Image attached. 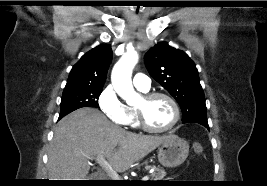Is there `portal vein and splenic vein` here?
<instances>
[{
  "label": "portal vein and splenic vein",
  "mask_w": 267,
  "mask_h": 186,
  "mask_svg": "<svg viewBox=\"0 0 267 186\" xmlns=\"http://www.w3.org/2000/svg\"><path fill=\"white\" fill-rule=\"evenodd\" d=\"M89 159L93 158L89 157ZM95 160L112 180H122L119 174L113 169V167L105 160L102 155L97 156ZM148 179L149 177L148 175H146L142 178V181H147Z\"/></svg>",
  "instance_id": "1"
}]
</instances>
